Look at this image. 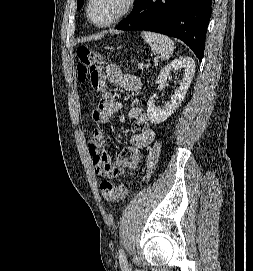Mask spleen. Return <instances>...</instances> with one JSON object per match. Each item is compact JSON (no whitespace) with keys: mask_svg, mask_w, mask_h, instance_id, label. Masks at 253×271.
Returning a JSON list of instances; mask_svg holds the SVG:
<instances>
[{"mask_svg":"<svg viewBox=\"0 0 253 271\" xmlns=\"http://www.w3.org/2000/svg\"><path fill=\"white\" fill-rule=\"evenodd\" d=\"M141 36L150 45L153 53L159 55L163 61L171 57L174 42L169 37L150 31H142Z\"/></svg>","mask_w":253,"mask_h":271,"instance_id":"obj_1","label":"spleen"}]
</instances>
